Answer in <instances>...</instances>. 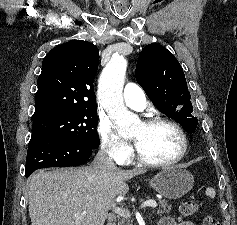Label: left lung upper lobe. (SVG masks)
Segmentation results:
<instances>
[{
    "label": "left lung upper lobe",
    "instance_id": "left-lung-upper-lobe-1",
    "mask_svg": "<svg viewBox=\"0 0 237 225\" xmlns=\"http://www.w3.org/2000/svg\"><path fill=\"white\" fill-rule=\"evenodd\" d=\"M136 80L160 111L174 118L186 131H195L197 118L192 115L183 69L166 48L149 44L142 50L137 62Z\"/></svg>",
    "mask_w": 237,
    "mask_h": 225
}]
</instances>
